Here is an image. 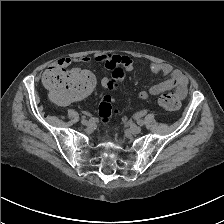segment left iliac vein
<instances>
[{
    "instance_id": "1",
    "label": "left iliac vein",
    "mask_w": 224,
    "mask_h": 224,
    "mask_svg": "<svg viewBox=\"0 0 224 224\" xmlns=\"http://www.w3.org/2000/svg\"><path fill=\"white\" fill-rule=\"evenodd\" d=\"M130 132L132 134H139L141 132V127H139L137 125H133L130 127Z\"/></svg>"
}]
</instances>
